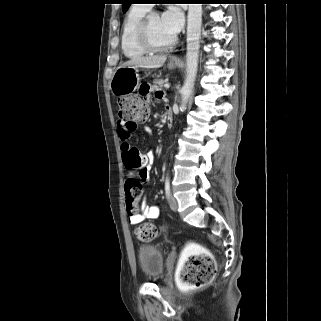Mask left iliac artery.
Listing matches in <instances>:
<instances>
[{
  "label": "left iliac artery",
  "mask_w": 321,
  "mask_h": 321,
  "mask_svg": "<svg viewBox=\"0 0 321 321\" xmlns=\"http://www.w3.org/2000/svg\"><path fill=\"white\" fill-rule=\"evenodd\" d=\"M165 193H166V197L169 198V196H170V180H169L168 176L166 177V180H165Z\"/></svg>",
  "instance_id": "left-iliac-artery-1"
}]
</instances>
